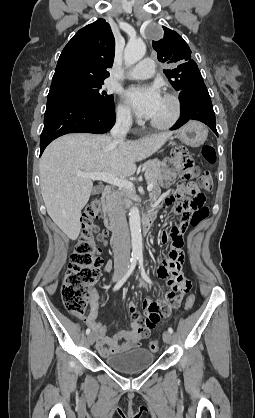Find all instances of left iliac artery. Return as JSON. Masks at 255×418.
Instances as JSON below:
<instances>
[{
  "instance_id": "1",
  "label": "left iliac artery",
  "mask_w": 255,
  "mask_h": 418,
  "mask_svg": "<svg viewBox=\"0 0 255 418\" xmlns=\"http://www.w3.org/2000/svg\"><path fill=\"white\" fill-rule=\"evenodd\" d=\"M138 261H139V269H140V272H141V276H142V278H143L146 282H148L149 284H152L151 279L149 278V276L147 275V273H146V271H145V269H144V265H143V256H142V255H140V256L138 257ZM168 331H169L171 334L173 333V329H172L171 327H169V328H168Z\"/></svg>"
}]
</instances>
